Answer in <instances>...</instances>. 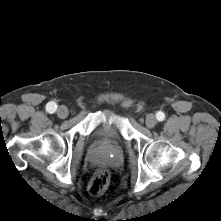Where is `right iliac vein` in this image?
<instances>
[{
    "label": "right iliac vein",
    "instance_id": "1",
    "mask_svg": "<svg viewBox=\"0 0 221 221\" xmlns=\"http://www.w3.org/2000/svg\"><path fill=\"white\" fill-rule=\"evenodd\" d=\"M68 108L66 106H60L58 109H57V115L59 118L61 119H64L68 116Z\"/></svg>",
    "mask_w": 221,
    "mask_h": 221
}]
</instances>
